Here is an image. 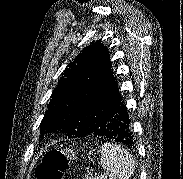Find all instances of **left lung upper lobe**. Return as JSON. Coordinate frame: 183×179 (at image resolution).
Masks as SVG:
<instances>
[{
  "label": "left lung upper lobe",
  "instance_id": "1",
  "mask_svg": "<svg viewBox=\"0 0 183 179\" xmlns=\"http://www.w3.org/2000/svg\"><path fill=\"white\" fill-rule=\"evenodd\" d=\"M62 75L40 124L41 135L58 130L70 138L90 135L103 124L120 94L107 48L100 41L91 42Z\"/></svg>",
  "mask_w": 183,
  "mask_h": 179
}]
</instances>
